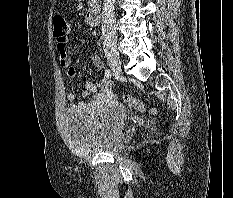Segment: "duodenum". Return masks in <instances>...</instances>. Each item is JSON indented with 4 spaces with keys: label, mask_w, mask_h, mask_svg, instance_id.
Listing matches in <instances>:
<instances>
[{
    "label": "duodenum",
    "mask_w": 233,
    "mask_h": 198,
    "mask_svg": "<svg viewBox=\"0 0 233 198\" xmlns=\"http://www.w3.org/2000/svg\"><path fill=\"white\" fill-rule=\"evenodd\" d=\"M101 13L97 7L90 9L86 15V21L89 25H97L100 22Z\"/></svg>",
    "instance_id": "obj_1"
}]
</instances>
